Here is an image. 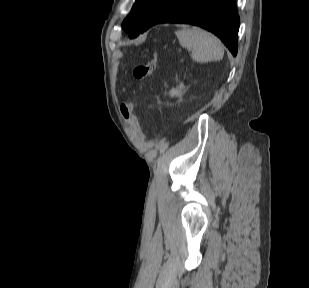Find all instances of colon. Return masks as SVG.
<instances>
[{"instance_id": "obj_1", "label": "colon", "mask_w": 309, "mask_h": 288, "mask_svg": "<svg viewBox=\"0 0 309 288\" xmlns=\"http://www.w3.org/2000/svg\"><path fill=\"white\" fill-rule=\"evenodd\" d=\"M157 66V55L156 53H152L150 58L145 62L137 65L134 68L133 75L134 78L138 81H144L148 79L156 70ZM135 104L130 103L121 107V113L124 118L131 123L133 129L135 131L136 136L142 140L143 135L140 130V125L136 115L134 114Z\"/></svg>"}]
</instances>
